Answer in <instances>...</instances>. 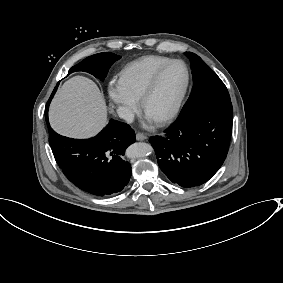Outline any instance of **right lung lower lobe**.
I'll return each mask as SVG.
<instances>
[{"mask_svg":"<svg viewBox=\"0 0 283 283\" xmlns=\"http://www.w3.org/2000/svg\"><path fill=\"white\" fill-rule=\"evenodd\" d=\"M56 90L57 87L46 104L45 118L49 144L57 164L64 175L83 191L97 196L120 192L131 177V165L123 160V156L126 148L135 142L133 129L112 119L91 139H72L57 134L48 122V108Z\"/></svg>","mask_w":283,"mask_h":283,"instance_id":"1","label":"right lung lower lobe"}]
</instances>
